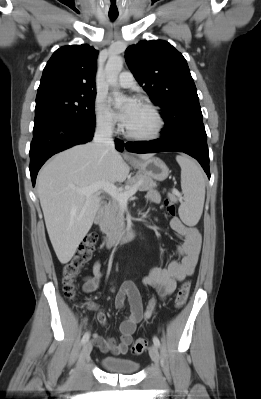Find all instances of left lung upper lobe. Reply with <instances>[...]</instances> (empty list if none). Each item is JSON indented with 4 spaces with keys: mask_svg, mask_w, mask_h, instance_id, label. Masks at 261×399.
Wrapping results in <instances>:
<instances>
[{
    "mask_svg": "<svg viewBox=\"0 0 261 399\" xmlns=\"http://www.w3.org/2000/svg\"><path fill=\"white\" fill-rule=\"evenodd\" d=\"M127 64L139 85L162 108V135L202 120L197 90L183 55L163 40L140 41L126 50Z\"/></svg>",
    "mask_w": 261,
    "mask_h": 399,
    "instance_id": "left-lung-upper-lobe-1",
    "label": "left lung upper lobe"
}]
</instances>
